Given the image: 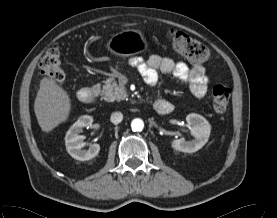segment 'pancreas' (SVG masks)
<instances>
[{"instance_id": "1", "label": "pancreas", "mask_w": 277, "mask_h": 218, "mask_svg": "<svg viewBox=\"0 0 277 218\" xmlns=\"http://www.w3.org/2000/svg\"><path fill=\"white\" fill-rule=\"evenodd\" d=\"M95 89L100 90V85L94 86ZM102 98L106 101H120L128 97L124 86H120L116 81L108 79L100 90Z\"/></svg>"}]
</instances>
